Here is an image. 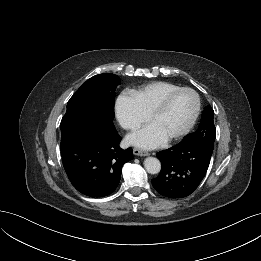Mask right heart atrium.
<instances>
[{
  "label": "right heart atrium",
  "mask_w": 261,
  "mask_h": 261,
  "mask_svg": "<svg viewBox=\"0 0 261 261\" xmlns=\"http://www.w3.org/2000/svg\"><path fill=\"white\" fill-rule=\"evenodd\" d=\"M115 115L119 124L128 131L138 129L148 120L133 93L122 94L115 104Z\"/></svg>",
  "instance_id": "d8ad5b80"
}]
</instances>
